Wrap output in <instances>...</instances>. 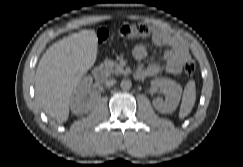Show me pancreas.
<instances>
[{"instance_id":"1","label":"pancreas","mask_w":243,"mask_h":167,"mask_svg":"<svg viewBox=\"0 0 243 167\" xmlns=\"http://www.w3.org/2000/svg\"><path fill=\"white\" fill-rule=\"evenodd\" d=\"M106 76L110 74H121L124 72L123 68L115 61L106 59L102 64Z\"/></svg>"}]
</instances>
